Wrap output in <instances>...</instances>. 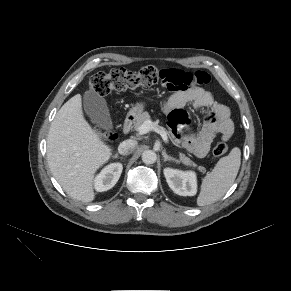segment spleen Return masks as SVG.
Instances as JSON below:
<instances>
[{"label": "spleen", "mask_w": 291, "mask_h": 291, "mask_svg": "<svg viewBox=\"0 0 291 291\" xmlns=\"http://www.w3.org/2000/svg\"><path fill=\"white\" fill-rule=\"evenodd\" d=\"M241 164V151L238 147L222 157L202 180L197 197L198 206L210 205L222 198L234 183Z\"/></svg>", "instance_id": "1"}]
</instances>
